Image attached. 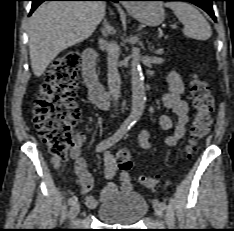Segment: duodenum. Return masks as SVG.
Returning <instances> with one entry per match:
<instances>
[{"instance_id":"obj_1","label":"duodenum","mask_w":234,"mask_h":231,"mask_svg":"<svg viewBox=\"0 0 234 231\" xmlns=\"http://www.w3.org/2000/svg\"><path fill=\"white\" fill-rule=\"evenodd\" d=\"M96 52L92 48H87L82 53L81 71L85 86L89 91L91 101L101 109H108L111 105L110 96L100 83L96 69Z\"/></svg>"}]
</instances>
